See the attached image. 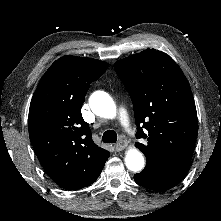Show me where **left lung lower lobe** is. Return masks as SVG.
I'll return each instance as SVG.
<instances>
[{
  "label": "left lung lower lobe",
  "mask_w": 221,
  "mask_h": 221,
  "mask_svg": "<svg viewBox=\"0 0 221 221\" xmlns=\"http://www.w3.org/2000/svg\"><path fill=\"white\" fill-rule=\"evenodd\" d=\"M186 172L152 168L134 175L135 182L147 189L162 192L176 186Z\"/></svg>",
  "instance_id": "0a47b994"
}]
</instances>
